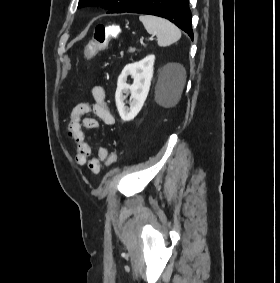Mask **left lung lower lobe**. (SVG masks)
Wrapping results in <instances>:
<instances>
[{
	"instance_id": "left-lung-lower-lobe-1",
	"label": "left lung lower lobe",
	"mask_w": 280,
	"mask_h": 283,
	"mask_svg": "<svg viewBox=\"0 0 280 283\" xmlns=\"http://www.w3.org/2000/svg\"><path fill=\"white\" fill-rule=\"evenodd\" d=\"M126 12L150 14L170 20L193 39L188 0H141Z\"/></svg>"
}]
</instances>
